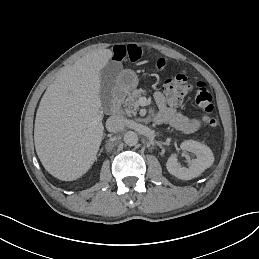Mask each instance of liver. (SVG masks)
Returning a JSON list of instances; mask_svg holds the SVG:
<instances>
[{
	"label": "liver",
	"instance_id": "1",
	"mask_svg": "<svg viewBox=\"0 0 259 259\" xmlns=\"http://www.w3.org/2000/svg\"><path fill=\"white\" fill-rule=\"evenodd\" d=\"M111 49L87 53L65 67L45 91L35 119L36 153L53 177L82 178L97 162L104 125L101 109V70L112 59Z\"/></svg>",
	"mask_w": 259,
	"mask_h": 259
}]
</instances>
